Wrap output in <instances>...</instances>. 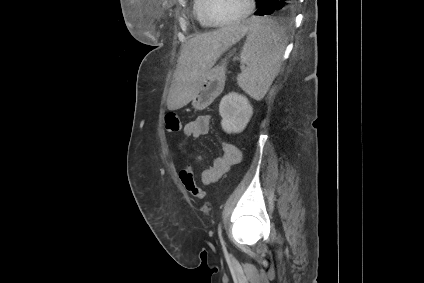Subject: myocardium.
Listing matches in <instances>:
<instances>
[{"label":"myocardium","instance_id":"myocardium-1","mask_svg":"<svg viewBox=\"0 0 424 283\" xmlns=\"http://www.w3.org/2000/svg\"><path fill=\"white\" fill-rule=\"evenodd\" d=\"M247 3H248L247 9L239 17L232 20H228V21H217L212 17V14H211L212 0H205V4H204L205 19L211 26H214V27H222V26H228V25L238 23L246 19L248 16H250L255 8L254 0H247Z\"/></svg>","mask_w":424,"mask_h":283}]
</instances>
